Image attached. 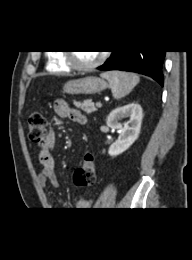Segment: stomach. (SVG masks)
Instances as JSON below:
<instances>
[{"label": "stomach", "mask_w": 192, "mask_h": 260, "mask_svg": "<svg viewBox=\"0 0 192 260\" xmlns=\"http://www.w3.org/2000/svg\"><path fill=\"white\" fill-rule=\"evenodd\" d=\"M107 86V83L103 79L95 76H87L66 82L63 86V90L65 93L71 95H92L103 91Z\"/></svg>", "instance_id": "1"}]
</instances>
